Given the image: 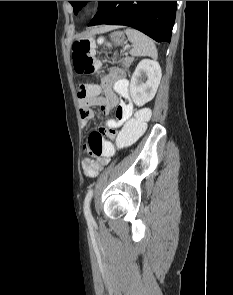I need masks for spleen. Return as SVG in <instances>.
<instances>
[{
	"label": "spleen",
	"instance_id": "obj_1",
	"mask_svg": "<svg viewBox=\"0 0 233 295\" xmlns=\"http://www.w3.org/2000/svg\"><path fill=\"white\" fill-rule=\"evenodd\" d=\"M125 32L134 46L130 51L132 56H150L154 59L157 58V49L151 38L133 28H127Z\"/></svg>",
	"mask_w": 233,
	"mask_h": 295
}]
</instances>
